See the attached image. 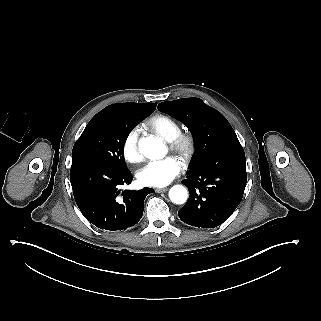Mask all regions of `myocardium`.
Listing matches in <instances>:
<instances>
[{"label": "myocardium", "instance_id": "f54148a6", "mask_svg": "<svg viewBox=\"0 0 321 321\" xmlns=\"http://www.w3.org/2000/svg\"><path fill=\"white\" fill-rule=\"evenodd\" d=\"M167 143L185 163L192 159L195 152V137L192 133H179L172 140L167 141Z\"/></svg>", "mask_w": 321, "mask_h": 321}]
</instances>
